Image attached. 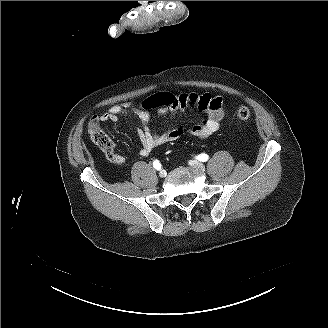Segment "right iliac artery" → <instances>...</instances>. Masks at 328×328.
<instances>
[{"label": "right iliac artery", "mask_w": 328, "mask_h": 328, "mask_svg": "<svg viewBox=\"0 0 328 328\" xmlns=\"http://www.w3.org/2000/svg\"><path fill=\"white\" fill-rule=\"evenodd\" d=\"M153 166H154V168H155L156 170H160V169H161V164H160V162H159L158 160H155V161L153 162Z\"/></svg>", "instance_id": "82829eb1"}]
</instances>
